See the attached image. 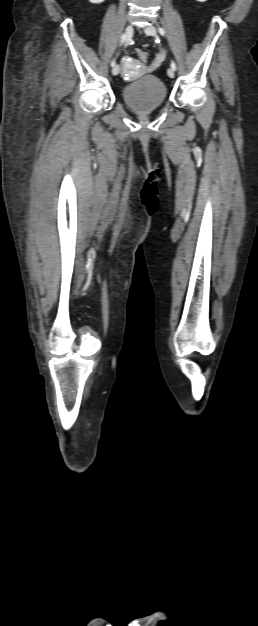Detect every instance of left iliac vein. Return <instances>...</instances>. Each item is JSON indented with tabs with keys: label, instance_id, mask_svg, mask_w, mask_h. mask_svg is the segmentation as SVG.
<instances>
[{
	"label": "left iliac vein",
	"instance_id": "4c4485c4",
	"mask_svg": "<svg viewBox=\"0 0 258 626\" xmlns=\"http://www.w3.org/2000/svg\"><path fill=\"white\" fill-rule=\"evenodd\" d=\"M144 32H145L147 35H150V36H155L157 31H156V28H155L154 26L149 25V26H147V27L144 29ZM167 74H168V76H169L170 78H174V76H175L174 70H173L172 68H169V69L167 70Z\"/></svg>",
	"mask_w": 258,
	"mask_h": 626
}]
</instances>
